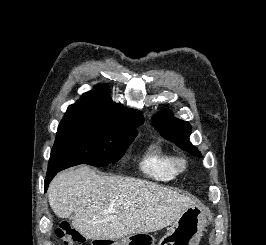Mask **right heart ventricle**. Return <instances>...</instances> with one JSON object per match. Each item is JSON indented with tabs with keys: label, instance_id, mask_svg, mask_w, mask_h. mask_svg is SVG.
<instances>
[{
	"label": "right heart ventricle",
	"instance_id": "1",
	"mask_svg": "<svg viewBox=\"0 0 266 245\" xmlns=\"http://www.w3.org/2000/svg\"><path fill=\"white\" fill-rule=\"evenodd\" d=\"M176 156L157 141L151 142L143 151L139 168L149 179L169 183L180 176L176 169Z\"/></svg>",
	"mask_w": 266,
	"mask_h": 245
}]
</instances>
